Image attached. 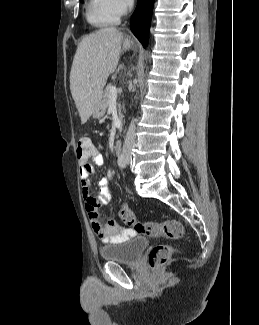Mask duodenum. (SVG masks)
<instances>
[{
    "label": "duodenum",
    "mask_w": 259,
    "mask_h": 325,
    "mask_svg": "<svg viewBox=\"0 0 259 325\" xmlns=\"http://www.w3.org/2000/svg\"><path fill=\"white\" fill-rule=\"evenodd\" d=\"M122 149H123L122 140H117L114 145V151L116 152V154H120L122 152Z\"/></svg>",
    "instance_id": "obj_1"
}]
</instances>
